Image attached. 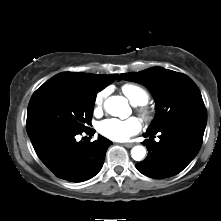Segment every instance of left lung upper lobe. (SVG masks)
<instances>
[{"label": "left lung upper lobe", "mask_w": 221, "mask_h": 221, "mask_svg": "<svg viewBox=\"0 0 221 221\" xmlns=\"http://www.w3.org/2000/svg\"><path fill=\"white\" fill-rule=\"evenodd\" d=\"M146 85L156 100L157 114L147 132H156L185 117H207L201 93L185 74L162 67L121 74L118 80Z\"/></svg>", "instance_id": "5c2ea615"}]
</instances>
